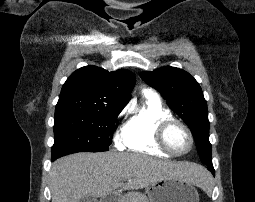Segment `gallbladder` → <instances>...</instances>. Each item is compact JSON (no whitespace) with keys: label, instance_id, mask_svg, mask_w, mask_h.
<instances>
[{"label":"gallbladder","instance_id":"gallbladder-1","mask_svg":"<svg viewBox=\"0 0 255 202\" xmlns=\"http://www.w3.org/2000/svg\"><path fill=\"white\" fill-rule=\"evenodd\" d=\"M79 202H97V198L92 195L83 196Z\"/></svg>","mask_w":255,"mask_h":202}]
</instances>
